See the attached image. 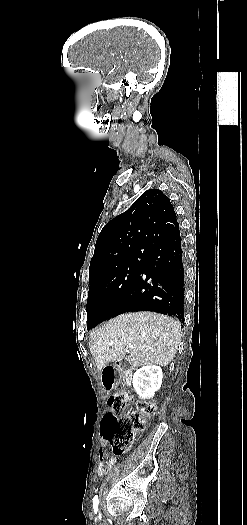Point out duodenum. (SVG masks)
Instances as JSON below:
<instances>
[{"label":"duodenum","mask_w":247,"mask_h":525,"mask_svg":"<svg viewBox=\"0 0 247 525\" xmlns=\"http://www.w3.org/2000/svg\"><path fill=\"white\" fill-rule=\"evenodd\" d=\"M120 376L128 381L131 378V368L127 360L120 359L112 365H107L102 371V384L106 390L113 389L119 382Z\"/></svg>","instance_id":"410a0bca"}]
</instances>
